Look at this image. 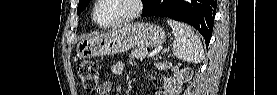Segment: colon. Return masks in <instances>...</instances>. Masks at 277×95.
I'll return each instance as SVG.
<instances>
[{
	"label": "colon",
	"mask_w": 277,
	"mask_h": 95,
	"mask_svg": "<svg viewBox=\"0 0 277 95\" xmlns=\"http://www.w3.org/2000/svg\"><path fill=\"white\" fill-rule=\"evenodd\" d=\"M78 75L81 79L83 88L88 93H93L99 82V68L93 61H84L77 67Z\"/></svg>",
	"instance_id": "obj_1"
}]
</instances>
